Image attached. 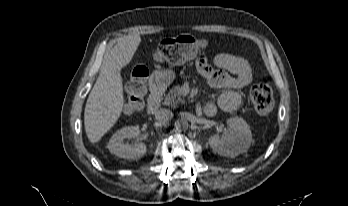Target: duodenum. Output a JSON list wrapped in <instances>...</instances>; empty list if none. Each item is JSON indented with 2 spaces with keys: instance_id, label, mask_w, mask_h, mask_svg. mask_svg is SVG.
<instances>
[{
  "instance_id": "410a0bca",
  "label": "duodenum",
  "mask_w": 348,
  "mask_h": 206,
  "mask_svg": "<svg viewBox=\"0 0 348 206\" xmlns=\"http://www.w3.org/2000/svg\"><path fill=\"white\" fill-rule=\"evenodd\" d=\"M162 94H163V86L159 82L153 79L150 84V96H149L148 104H147V110L150 114H154L158 111L161 105ZM203 112L207 116H212L215 113V111L213 110V107L207 104L203 105Z\"/></svg>"
}]
</instances>
